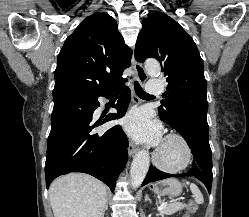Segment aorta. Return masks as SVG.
<instances>
[{
    "mask_svg": "<svg viewBox=\"0 0 249 217\" xmlns=\"http://www.w3.org/2000/svg\"><path fill=\"white\" fill-rule=\"evenodd\" d=\"M145 69L148 75L155 76L159 73L160 66L156 60L151 59L145 62ZM149 164L150 157L148 151L141 150L135 155L130 170L131 185L133 188H137L142 184L148 172Z\"/></svg>",
    "mask_w": 249,
    "mask_h": 217,
    "instance_id": "762f6f07",
    "label": "aorta"
}]
</instances>
